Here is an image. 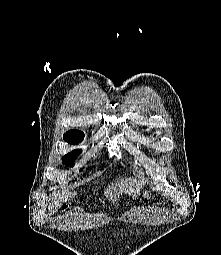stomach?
Segmentation results:
<instances>
[{
    "label": "stomach",
    "mask_w": 221,
    "mask_h": 255,
    "mask_svg": "<svg viewBox=\"0 0 221 255\" xmlns=\"http://www.w3.org/2000/svg\"><path fill=\"white\" fill-rule=\"evenodd\" d=\"M151 192H150V190H144L143 192H142V197L143 198H147V199H150L151 198Z\"/></svg>",
    "instance_id": "obj_1"
}]
</instances>
